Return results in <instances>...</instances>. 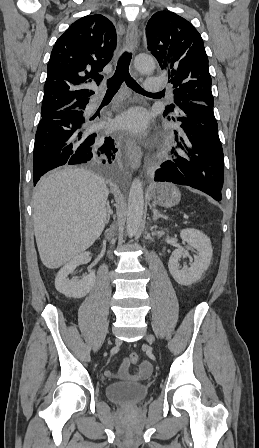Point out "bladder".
Returning <instances> with one entry per match:
<instances>
[{
    "label": "bladder",
    "instance_id": "obj_1",
    "mask_svg": "<svg viewBox=\"0 0 259 448\" xmlns=\"http://www.w3.org/2000/svg\"><path fill=\"white\" fill-rule=\"evenodd\" d=\"M105 393L113 403L132 405L145 399L148 386L144 383H111L106 386Z\"/></svg>",
    "mask_w": 259,
    "mask_h": 448
}]
</instances>
